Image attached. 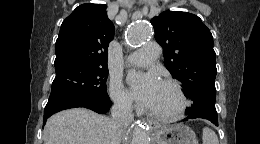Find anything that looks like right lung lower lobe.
<instances>
[{
    "label": "right lung lower lobe",
    "mask_w": 260,
    "mask_h": 144,
    "mask_svg": "<svg viewBox=\"0 0 260 144\" xmlns=\"http://www.w3.org/2000/svg\"><path fill=\"white\" fill-rule=\"evenodd\" d=\"M112 106V102L109 98L106 99H100L91 103H65V104H59V105H53L49 107H45L44 110V124L46 123V119L49 118L54 113H57L64 109L69 108H76V107H84L91 109L97 113L103 114L108 112L110 107Z\"/></svg>",
    "instance_id": "1"
}]
</instances>
